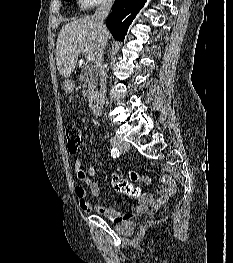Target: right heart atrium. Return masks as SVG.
I'll return each instance as SVG.
<instances>
[{
  "mask_svg": "<svg viewBox=\"0 0 233 263\" xmlns=\"http://www.w3.org/2000/svg\"><path fill=\"white\" fill-rule=\"evenodd\" d=\"M82 8H90L99 4L111 2L112 0H78Z\"/></svg>",
  "mask_w": 233,
  "mask_h": 263,
  "instance_id": "1",
  "label": "right heart atrium"
}]
</instances>
